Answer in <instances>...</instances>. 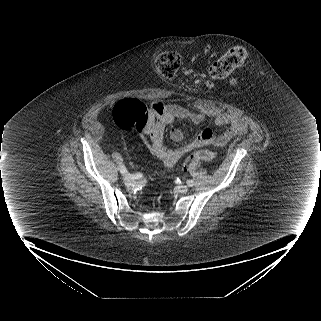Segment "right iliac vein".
<instances>
[{"instance_id": "1", "label": "right iliac vein", "mask_w": 321, "mask_h": 321, "mask_svg": "<svg viewBox=\"0 0 321 321\" xmlns=\"http://www.w3.org/2000/svg\"><path fill=\"white\" fill-rule=\"evenodd\" d=\"M124 182H125V184H126L127 186H130V185L133 184V181H132L131 179H128V178H125V179H124Z\"/></svg>"}]
</instances>
